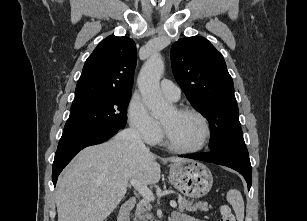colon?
I'll return each instance as SVG.
<instances>
[{
  "label": "colon",
  "mask_w": 307,
  "mask_h": 221,
  "mask_svg": "<svg viewBox=\"0 0 307 221\" xmlns=\"http://www.w3.org/2000/svg\"><path fill=\"white\" fill-rule=\"evenodd\" d=\"M220 221H236L235 216L228 205L220 207Z\"/></svg>",
  "instance_id": "obj_1"
}]
</instances>
